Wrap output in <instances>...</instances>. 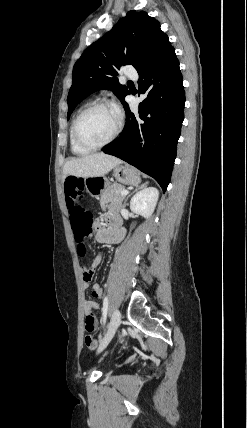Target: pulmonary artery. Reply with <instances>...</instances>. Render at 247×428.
<instances>
[{
  "label": "pulmonary artery",
  "mask_w": 247,
  "mask_h": 428,
  "mask_svg": "<svg viewBox=\"0 0 247 428\" xmlns=\"http://www.w3.org/2000/svg\"><path fill=\"white\" fill-rule=\"evenodd\" d=\"M124 74L132 79H136L138 77L136 70L129 66L124 69Z\"/></svg>",
  "instance_id": "e3ab8cb5"
}]
</instances>
